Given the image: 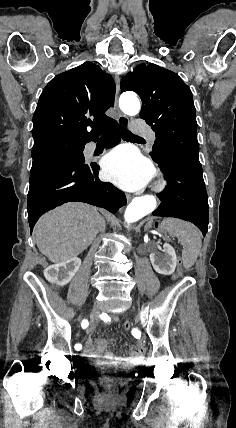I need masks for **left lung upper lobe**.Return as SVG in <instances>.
Wrapping results in <instances>:
<instances>
[{"label":"left lung upper lobe","mask_w":236,"mask_h":428,"mask_svg":"<svg viewBox=\"0 0 236 428\" xmlns=\"http://www.w3.org/2000/svg\"><path fill=\"white\" fill-rule=\"evenodd\" d=\"M122 91H134L142 100L140 117L156 134L151 157L158 164L174 156L199 162L197 122L190 88L174 72L153 63L136 66L122 78Z\"/></svg>","instance_id":"5c2ea615"}]
</instances>
